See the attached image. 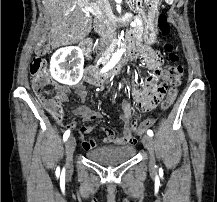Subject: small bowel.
Segmentation results:
<instances>
[{"instance_id":"obj_1","label":"small bowel","mask_w":217,"mask_h":202,"mask_svg":"<svg viewBox=\"0 0 217 202\" xmlns=\"http://www.w3.org/2000/svg\"><path fill=\"white\" fill-rule=\"evenodd\" d=\"M138 53L144 58L146 64L151 69H157L160 67L162 60L160 55L155 50L141 46L138 43ZM155 75L150 76L146 79L145 87L150 90L154 86ZM74 90L80 96L82 100L87 97V91L82 84L75 86ZM65 87L59 86L58 95H64V100H59L61 103L66 101ZM154 95H162V93L155 91ZM135 101L138 102L140 108L146 111L148 108L140 105L139 96L137 92H134ZM133 101L124 100L121 103V113L120 119L123 122V130L121 133H116L114 130L108 127H100V132H105L106 137L104 138L105 144H113L118 146H131L137 142V135L142 134L144 131H133V126H148L145 122L138 124L135 119H132V106ZM75 115L80 116L85 122H97L102 118V112L92 109L87 105H80L73 110ZM64 119V113L62 111L61 116H54V121H58L62 124ZM77 126L76 122H72L68 125V128H75ZM81 136H86V141H92V136H90V128L82 127ZM82 147H97V142H82Z\"/></svg>"}]
</instances>
